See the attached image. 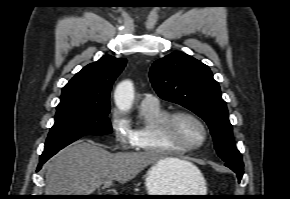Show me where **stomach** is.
Masks as SVG:
<instances>
[{"label": "stomach", "instance_id": "1", "mask_svg": "<svg viewBox=\"0 0 290 199\" xmlns=\"http://www.w3.org/2000/svg\"><path fill=\"white\" fill-rule=\"evenodd\" d=\"M148 195H206V182L200 172L175 173L165 164L154 163L145 175ZM166 199H194L188 197H153Z\"/></svg>", "mask_w": 290, "mask_h": 199}]
</instances>
